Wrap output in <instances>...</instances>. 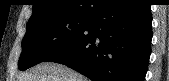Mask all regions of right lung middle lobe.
<instances>
[{
    "mask_svg": "<svg viewBox=\"0 0 169 81\" xmlns=\"http://www.w3.org/2000/svg\"><path fill=\"white\" fill-rule=\"evenodd\" d=\"M86 16H55L27 23L19 69L26 70L68 44L85 26Z\"/></svg>",
    "mask_w": 169,
    "mask_h": 81,
    "instance_id": "1",
    "label": "right lung middle lobe"
}]
</instances>
